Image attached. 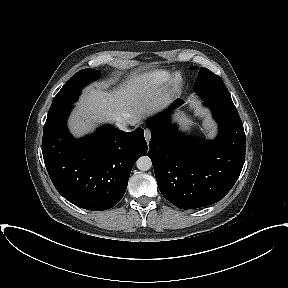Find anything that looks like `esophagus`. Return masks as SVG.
<instances>
[{"label":"esophagus","instance_id":"esophagus-1","mask_svg":"<svg viewBox=\"0 0 288 288\" xmlns=\"http://www.w3.org/2000/svg\"><path fill=\"white\" fill-rule=\"evenodd\" d=\"M144 136H145V140H146L147 142H149L150 139H151V131L148 130V129H146V130H145V133H144Z\"/></svg>","mask_w":288,"mask_h":288}]
</instances>
